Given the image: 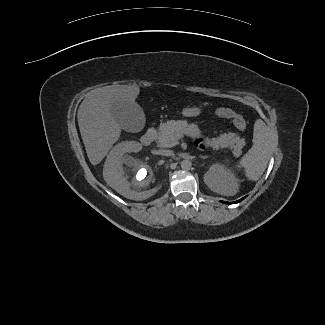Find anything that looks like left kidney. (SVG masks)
Wrapping results in <instances>:
<instances>
[{
	"label": "left kidney",
	"mask_w": 325,
	"mask_h": 325,
	"mask_svg": "<svg viewBox=\"0 0 325 325\" xmlns=\"http://www.w3.org/2000/svg\"><path fill=\"white\" fill-rule=\"evenodd\" d=\"M205 184L215 193L225 196L234 195L238 190V180L223 167L214 164L204 175Z\"/></svg>",
	"instance_id": "left-kidney-1"
}]
</instances>
